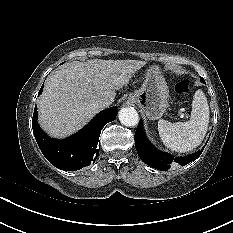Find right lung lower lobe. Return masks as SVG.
<instances>
[{"label": "right lung lower lobe", "instance_id": "1", "mask_svg": "<svg viewBox=\"0 0 233 233\" xmlns=\"http://www.w3.org/2000/svg\"><path fill=\"white\" fill-rule=\"evenodd\" d=\"M42 92V87L39 94ZM117 115L116 107L98 113L81 131L64 140H52L40 129L37 121V107L32 118V128L38 146L45 158L56 168L65 171L79 170L95 162L99 149V135L106 123Z\"/></svg>", "mask_w": 233, "mask_h": 233}]
</instances>
